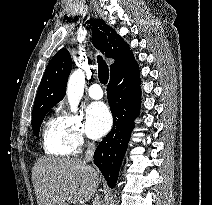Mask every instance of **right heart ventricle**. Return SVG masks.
<instances>
[{"label":"right heart ventricle","mask_w":212,"mask_h":205,"mask_svg":"<svg viewBox=\"0 0 212 205\" xmlns=\"http://www.w3.org/2000/svg\"><path fill=\"white\" fill-rule=\"evenodd\" d=\"M42 143L45 152L53 156H68L74 152L62 117H50L44 125Z\"/></svg>","instance_id":"right-heart-ventricle-1"}]
</instances>
